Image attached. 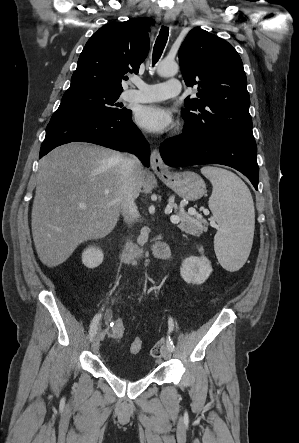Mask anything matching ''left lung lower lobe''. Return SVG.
<instances>
[{"instance_id": "0a47b994", "label": "left lung lower lobe", "mask_w": 299, "mask_h": 443, "mask_svg": "<svg viewBox=\"0 0 299 443\" xmlns=\"http://www.w3.org/2000/svg\"><path fill=\"white\" fill-rule=\"evenodd\" d=\"M165 164L183 167L222 164L243 173L258 190L257 147L253 135H196L184 128L183 134L160 145Z\"/></svg>"}]
</instances>
